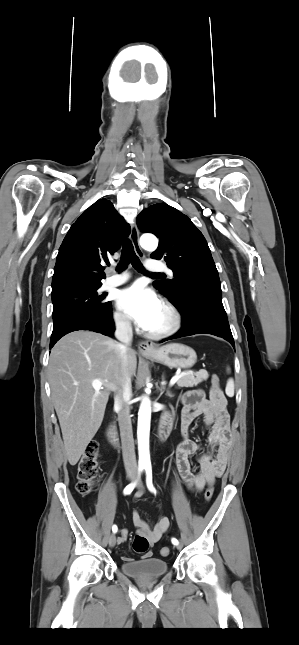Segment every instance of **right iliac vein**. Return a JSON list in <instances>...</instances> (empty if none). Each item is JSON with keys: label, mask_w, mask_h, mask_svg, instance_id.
<instances>
[{"label": "right iliac vein", "mask_w": 299, "mask_h": 645, "mask_svg": "<svg viewBox=\"0 0 299 645\" xmlns=\"http://www.w3.org/2000/svg\"><path fill=\"white\" fill-rule=\"evenodd\" d=\"M128 478H129L130 480H132V479L134 478V475H133V474H129V475H128ZM109 545H110V547H114V546L116 545V536H115V534H111V535H110V537H109Z\"/></svg>", "instance_id": "obj_1"}]
</instances>
